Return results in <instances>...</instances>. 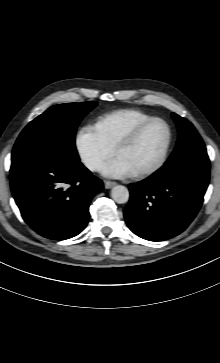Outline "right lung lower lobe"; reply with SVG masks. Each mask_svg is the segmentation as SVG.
Segmentation results:
<instances>
[{
	"instance_id": "1",
	"label": "right lung lower lobe",
	"mask_w": 220,
	"mask_h": 363,
	"mask_svg": "<svg viewBox=\"0 0 220 363\" xmlns=\"http://www.w3.org/2000/svg\"><path fill=\"white\" fill-rule=\"evenodd\" d=\"M10 183L26 223L53 240L74 237L86 227L90 201L103 189L102 181L82 163L54 155L11 165Z\"/></svg>"
}]
</instances>
